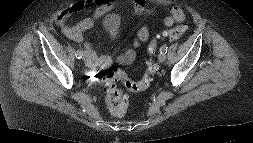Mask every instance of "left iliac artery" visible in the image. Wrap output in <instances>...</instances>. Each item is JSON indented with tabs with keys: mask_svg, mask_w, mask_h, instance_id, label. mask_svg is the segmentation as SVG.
<instances>
[{
	"mask_svg": "<svg viewBox=\"0 0 253 143\" xmlns=\"http://www.w3.org/2000/svg\"><path fill=\"white\" fill-rule=\"evenodd\" d=\"M167 46L166 45H163L161 48H160V52H161V54H165V53H167Z\"/></svg>",
	"mask_w": 253,
	"mask_h": 143,
	"instance_id": "left-iliac-artery-1",
	"label": "left iliac artery"
}]
</instances>
